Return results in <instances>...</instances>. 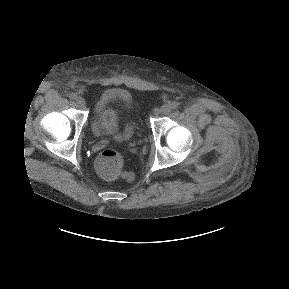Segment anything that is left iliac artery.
<instances>
[{
    "label": "left iliac artery",
    "mask_w": 289,
    "mask_h": 289,
    "mask_svg": "<svg viewBox=\"0 0 289 289\" xmlns=\"http://www.w3.org/2000/svg\"><path fill=\"white\" fill-rule=\"evenodd\" d=\"M171 109H177L179 107V103L174 101L170 104Z\"/></svg>",
    "instance_id": "44dca946"
}]
</instances>
